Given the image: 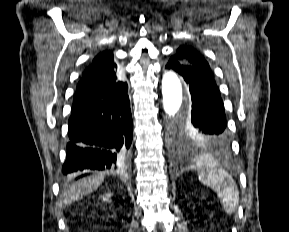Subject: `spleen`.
Returning a JSON list of instances; mask_svg holds the SVG:
<instances>
[{"instance_id": "obj_1", "label": "spleen", "mask_w": 289, "mask_h": 232, "mask_svg": "<svg viewBox=\"0 0 289 232\" xmlns=\"http://www.w3.org/2000/svg\"><path fill=\"white\" fill-rule=\"evenodd\" d=\"M201 183L216 192L223 209L228 213H234L239 204V190L232 178L224 169H216L209 166L206 171L198 175Z\"/></svg>"}]
</instances>
